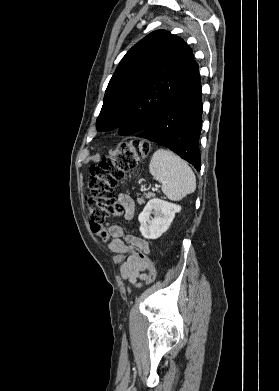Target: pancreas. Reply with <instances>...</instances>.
I'll return each mask as SVG.
<instances>
[{
	"label": "pancreas",
	"mask_w": 279,
	"mask_h": 391,
	"mask_svg": "<svg viewBox=\"0 0 279 391\" xmlns=\"http://www.w3.org/2000/svg\"><path fill=\"white\" fill-rule=\"evenodd\" d=\"M144 195H145V197H146L147 199H150V198H152V197L155 196L154 193H145ZM137 202H138V204H140V205L143 204V203H144L143 197H139V198L137 199Z\"/></svg>",
	"instance_id": "obj_1"
}]
</instances>
